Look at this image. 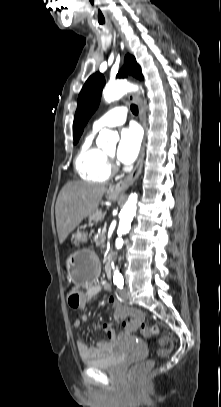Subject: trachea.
<instances>
[{"mask_svg":"<svg viewBox=\"0 0 221 407\" xmlns=\"http://www.w3.org/2000/svg\"><path fill=\"white\" fill-rule=\"evenodd\" d=\"M131 111L134 115L138 114V107L134 104L131 105Z\"/></svg>","mask_w":221,"mask_h":407,"instance_id":"obj_1","label":"trachea"}]
</instances>
